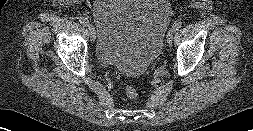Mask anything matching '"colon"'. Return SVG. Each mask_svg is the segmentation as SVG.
I'll list each match as a JSON object with an SVG mask.
<instances>
[{"label":"colon","mask_w":253,"mask_h":131,"mask_svg":"<svg viewBox=\"0 0 253 131\" xmlns=\"http://www.w3.org/2000/svg\"><path fill=\"white\" fill-rule=\"evenodd\" d=\"M125 93L127 95V97L134 99L138 96V91L135 87H133L132 85H126L125 86Z\"/></svg>","instance_id":"1"}]
</instances>
